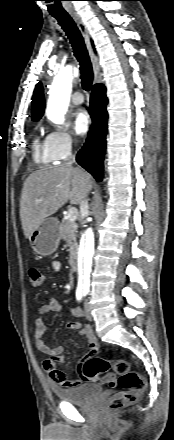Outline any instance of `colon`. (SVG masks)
I'll use <instances>...</instances> for the list:
<instances>
[{
	"label": "colon",
	"mask_w": 174,
	"mask_h": 440,
	"mask_svg": "<svg viewBox=\"0 0 174 440\" xmlns=\"http://www.w3.org/2000/svg\"><path fill=\"white\" fill-rule=\"evenodd\" d=\"M28 274L33 287L37 288L43 285L45 276L40 268L31 267ZM110 369L118 375V379L115 381L113 376H109L104 382L110 386L118 384L121 390L109 399V409L118 410L137 403L145 391L146 383L144 378L133 370L126 360L88 359L83 365V375L87 380L93 381L99 374Z\"/></svg>",
	"instance_id": "5ec220e1"
}]
</instances>
